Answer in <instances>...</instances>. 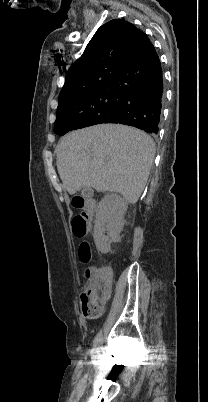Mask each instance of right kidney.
Here are the masks:
<instances>
[{"label": "right kidney", "mask_w": 208, "mask_h": 402, "mask_svg": "<svg viewBox=\"0 0 208 402\" xmlns=\"http://www.w3.org/2000/svg\"><path fill=\"white\" fill-rule=\"evenodd\" d=\"M128 202L117 194H106L99 202L95 212L94 242L102 254L110 252L111 242H118L124 226V214ZM107 232L108 236H105Z\"/></svg>", "instance_id": "right-kidney-1"}]
</instances>
